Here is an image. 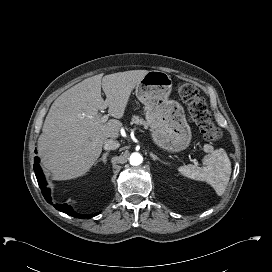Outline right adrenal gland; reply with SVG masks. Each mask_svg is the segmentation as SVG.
<instances>
[{
  "instance_id": "right-adrenal-gland-1",
  "label": "right adrenal gland",
  "mask_w": 272,
  "mask_h": 272,
  "mask_svg": "<svg viewBox=\"0 0 272 272\" xmlns=\"http://www.w3.org/2000/svg\"><path fill=\"white\" fill-rule=\"evenodd\" d=\"M109 155V152H106L102 155V157L100 159H98L96 162H95V165L98 163V162H103L104 164H106L107 162V156Z\"/></svg>"
}]
</instances>
